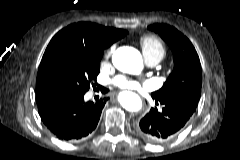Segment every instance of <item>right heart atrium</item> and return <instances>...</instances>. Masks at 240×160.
<instances>
[{
  "label": "right heart atrium",
  "mask_w": 240,
  "mask_h": 160,
  "mask_svg": "<svg viewBox=\"0 0 240 160\" xmlns=\"http://www.w3.org/2000/svg\"><path fill=\"white\" fill-rule=\"evenodd\" d=\"M113 51H114V46L110 47V48L106 51L105 57H106V58H109V57L112 55Z\"/></svg>",
  "instance_id": "obj_1"
}]
</instances>
